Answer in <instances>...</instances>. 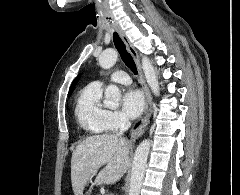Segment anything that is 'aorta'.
Returning <instances> with one entry per match:
<instances>
[{
  "instance_id": "obj_1",
  "label": "aorta",
  "mask_w": 240,
  "mask_h": 195,
  "mask_svg": "<svg viewBox=\"0 0 240 195\" xmlns=\"http://www.w3.org/2000/svg\"><path fill=\"white\" fill-rule=\"evenodd\" d=\"M117 56L118 54L116 50H112V48H109V50H105V52H103V54H100L99 56V66H101L103 70H109V68H112V66L116 64ZM141 62L142 70L144 72V76L147 80L148 86H150L155 96H159V84L156 72L149 58H146V56H144ZM104 96L106 99V103H108L109 107H115V105H119V101L121 99V92L118 86H107ZM150 143V139H143V141L139 143L135 151V155L132 161L129 195H140L145 175L148 153L151 147Z\"/></svg>"
}]
</instances>
